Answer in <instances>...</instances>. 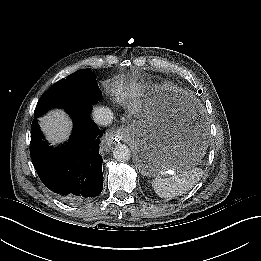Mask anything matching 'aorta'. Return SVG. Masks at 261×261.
Listing matches in <instances>:
<instances>
[{
	"label": "aorta",
	"mask_w": 261,
	"mask_h": 261,
	"mask_svg": "<svg viewBox=\"0 0 261 261\" xmlns=\"http://www.w3.org/2000/svg\"><path fill=\"white\" fill-rule=\"evenodd\" d=\"M113 157L119 162H126L131 157V151L126 145L120 144L114 147Z\"/></svg>",
	"instance_id": "obj_1"
}]
</instances>
